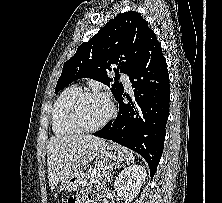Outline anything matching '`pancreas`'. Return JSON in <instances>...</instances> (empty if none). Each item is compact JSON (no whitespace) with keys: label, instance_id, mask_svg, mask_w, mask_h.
Listing matches in <instances>:
<instances>
[{"label":"pancreas","instance_id":"pancreas-1","mask_svg":"<svg viewBox=\"0 0 222 203\" xmlns=\"http://www.w3.org/2000/svg\"><path fill=\"white\" fill-rule=\"evenodd\" d=\"M109 164L110 163L107 160L96 163L86 173L84 184L99 183L102 180H106L110 169H105V167H108Z\"/></svg>","mask_w":222,"mask_h":203}]
</instances>
